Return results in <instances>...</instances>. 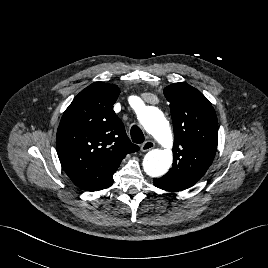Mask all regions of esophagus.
Wrapping results in <instances>:
<instances>
[{
  "instance_id": "esophagus-1",
  "label": "esophagus",
  "mask_w": 268,
  "mask_h": 268,
  "mask_svg": "<svg viewBox=\"0 0 268 268\" xmlns=\"http://www.w3.org/2000/svg\"><path fill=\"white\" fill-rule=\"evenodd\" d=\"M155 144L153 141H145L142 145H141V151L142 152H146L148 150H151L152 148H154Z\"/></svg>"
}]
</instances>
